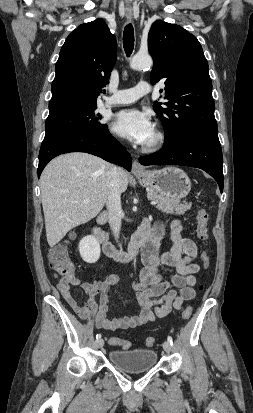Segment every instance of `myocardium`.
Returning <instances> with one entry per match:
<instances>
[{"label":"myocardium","mask_w":253,"mask_h":413,"mask_svg":"<svg viewBox=\"0 0 253 413\" xmlns=\"http://www.w3.org/2000/svg\"><path fill=\"white\" fill-rule=\"evenodd\" d=\"M165 142V133L162 130L157 129L154 133V139L151 142L146 143L142 149L145 152H156L164 146Z\"/></svg>","instance_id":"f54148a6"}]
</instances>
